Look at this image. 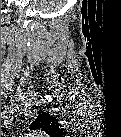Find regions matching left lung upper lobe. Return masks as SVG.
Instances as JSON below:
<instances>
[{
    "mask_svg": "<svg viewBox=\"0 0 121 137\" xmlns=\"http://www.w3.org/2000/svg\"><path fill=\"white\" fill-rule=\"evenodd\" d=\"M39 117L37 118L36 121L32 123L30 126V129H39L46 131L48 133H53L58 130V124L55 121L53 116H50L47 113L44 112H38Z\"/></svg>",
    "mask_w": 121,
    "mask_h": 137,
    "instance_id": "obj_1",
    "label": "left lung upper lobe"
}]
</instances>
